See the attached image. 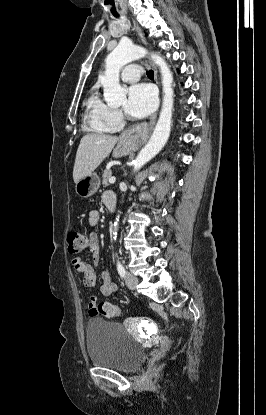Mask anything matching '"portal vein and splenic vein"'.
Returning a JSON list of instances; mask_svg holds the SVG:
<instances>
[{
	"label": "portal vein and splenic vein",
	"mask_w": 266,
	"mask_h": 415,
	"mask_svg": "<svg viewBox=\"0 0 266 415\" xmlns=\"http://www.w3.org/2000/svg\"><path fill=\"white\" fill-rule=\"evenodd\" d=\"M116 181V177L115 176H112L110 179H109V183H114Z\"/></svg>",
	"instance_id": "18ae733b"
}]
</instances>
